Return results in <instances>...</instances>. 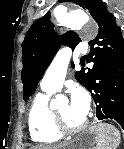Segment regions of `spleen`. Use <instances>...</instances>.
<instances>
[{
    "instance_id": "obj_1",
    "label": "spleen",
    "mask_w": 124,
    "mask_h": 149,
    "mask_svg": "<svg viewBox=\"0 0 124 149\" xmlns=\"http://www.w3.org/2000/svg\"><path fill=\"white\" fill-rule=\"evenodd\" d=\"M97 132V149H116L120 143L119 131L112 125L103 123L95 127Z\"/></svg>"
}]
</instances>
